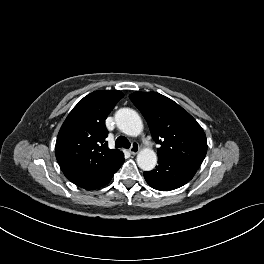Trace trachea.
Masks as SVG:
<instances>
[{"label":"trachea","instance_id":"obj_1","mask_svg":"<svg viewBox=\"0 0 264 264\" xmlns=\"http://www.w3.org/2000/svg\"><path fill=\"white\" fill-rule=\"evenodd\" d=\"M130 146H131L130 142L125 137L119 136L116 139L115 147H123L128 149L130 148Z\"/></svg>","mask_w":264,"mask_h":264}]
</instances>
